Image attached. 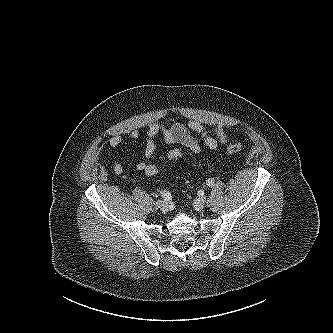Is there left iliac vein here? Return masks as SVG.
<instances>
[{"label": "left iliac vein", "mask_w": 333, "mask_h": 333, "mask_svg": "<svg viewBox=\"0 0 333 333\" xmlns=\"http://www.w3.org/2000/svg\"><path fill=\"white\" fill-rule=\"evenodd\" d=\"M206 203V198L205 197H198L197 199L194 200V207L197 210H202L205 206Z\"/></svg>", "instance_id": "left-iliac-vein-1"}]
</instances>
